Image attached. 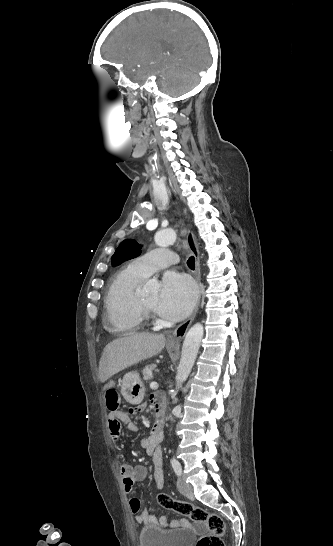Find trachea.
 Masks as SVG:
<instances>
[{
	"mask_svg": "<svg viewBox=\"0 0 333 546\" xmlns=\"http://www.w3.org/2000/svg\"><path fill=\"white\" fill-rule=\"evenodd\" d=\"M187 265H188V267H189L191 270H194V269H195V258H194V256H191V257L187 260Z\"/></svg>",
	"mask_w": 333,
	"mask_h": 546,
	"instance_id": "trachea-1",
	"label": "trachea"
}]
</instances>
